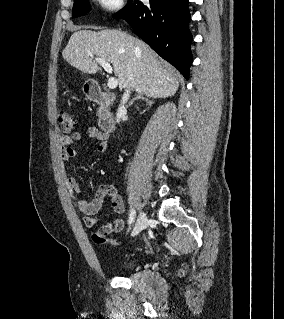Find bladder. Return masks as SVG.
<instances>
[{
  "label": "bladder",
  "mask_w": 284,
  "mask_h": 319,
  "mask_svg": "<svg viewBox=\"0 0 284 319\" xmlns=\"http://www.w3.org/2000/svg\"><path fill=\"white\" fill-rule=\"evenodd\" d=\"M140 261H141V259L139 257H130V258L123 260L120 263L119 268L122 271H130V270L134 269L140 263Z\"/></svg>",
  "instance_id": "bladder-1"
}]
</instances>
